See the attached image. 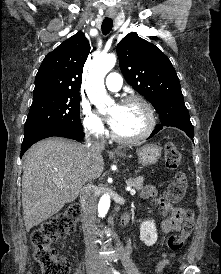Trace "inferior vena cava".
<instances>
[{
  "instance_id": "602c4592",
  "label": "inferior vena cava",
  "mask_w": 221,
  "mask_h": 274,
  "mask_svg": "<svg viewBox=\"0 0 221 274\" xmlns=\"http://www.w3.org/2000/svg\"><path fill=\"white\" fill-rule=\"evenodd\" d=\"M86 148L90 156H97L104 148V142H100L98 138L94 140L88 139ZM80 202L83 210L82 229L86 245V256L94 257L96 254L94 231L96 228L97 196L92 181H89V183L82 188L80 192Z\"/></svg>"
}]
</instances>
